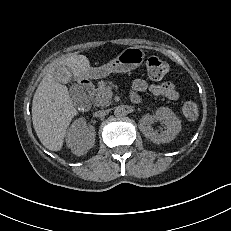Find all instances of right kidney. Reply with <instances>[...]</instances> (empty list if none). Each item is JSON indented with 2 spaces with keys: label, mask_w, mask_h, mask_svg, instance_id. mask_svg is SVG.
I'll return each mask as SVG.
<instances>
[{
  "label": "right kidney",
  "mask_w": 231,
  "mask_h": 231,
  "mask_svg": "<svg viewBox=\"0 0 231 231\" xmlns=\"http://www.w3.org/2000/svg\"><path fill=\"white\" fill-rule=\"evenodd\" d=\"M66 144L73 154H86L95 144V128L88 126L84 118L76 119L67 131Z\"/></svg>",
  "instance_id": "ca27d5eb"
}]
</instances>
